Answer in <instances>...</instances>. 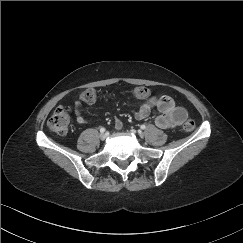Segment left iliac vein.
Returning <instances> with one entry per match:
<instances>
[{
	"instance_id": "1",
	"label": "left iliac vein",
	"mask_w": 243,
	"mask_h": 243,
	"mask_svg": "<svg viewBox=\"0 0 243 243\" xmlns=\"http://www.w3.org/2000/svg\"><path fill=\"white\" fill-rule=\"evenodd\" d=\"M139 136H140V137H143L144 134H143L142 132H139Z\"/></svg>"
}]
</instances>
